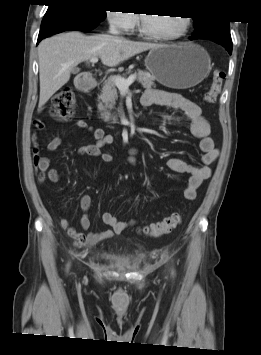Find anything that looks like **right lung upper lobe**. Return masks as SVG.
I'll list each match as a JSON object with an SVG mask.
<instances>
[{
	"instance_id": "obj_1",
	"label": "right lung upper lobe",
	"mask_w": 261,
	"mask_h": 355,
	"mask_svg": "<svg viewBox=\"0 0 261 355\" xmlns=\"http://www.w3.org/2000/svg\"><path fill=\"white\" fill-rule=\"evenodd\" d=\"M51 4L61 3V2H69V1H79V0H48Z\"/></svg>"
}]
</instances>
